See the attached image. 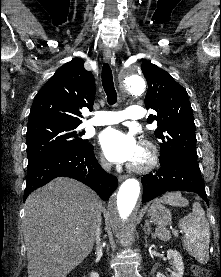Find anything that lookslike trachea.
Segmentation results:
<instances>
[{
    "mask_svg": "<svg viewBox=\"0 0 221 277\" xmlns=\"http://www.w3.org/2000/svg\"><path fill=\"white\" fill-rule=\"evenodd\" d=\"M102 85L107 95L109 105H114L117 102V92L113 83L112 70L108 63L102 67Z\"/></svg>",
    "mask_w": 221,
    "mask_h": 277,
    "instance_id": "1",
    "label": "trachea"
}]
</instances>
